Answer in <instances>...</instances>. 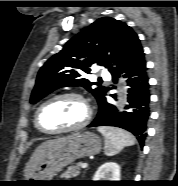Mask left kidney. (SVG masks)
I'll list each match as a JSON object with an SVG mask.
<instances>
[{
  "mask_svg": "<svg viewBox=\"0 0 178 186\" xmlns=\"http://www.w3.org/2000/svg\"><path fill=\"white\" fill-rule=\"evenodd\" d=\"M120 166L115 162H107L96 171L93 181H120Z\"/></svg>",
  "mask_w": 178,
  "mask_h": 186,
  "instance_id": "1",
  "label": "left kidney"
}]
</instances>
